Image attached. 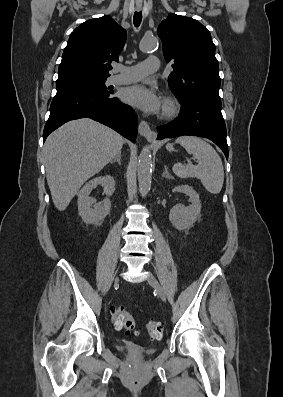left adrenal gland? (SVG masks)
Returning <instances> with one entry per match:
<instances>
[{"label":"left adrenal gland","mask_w":283,"mask_h":397,"mask_svg":"<svg viewBox=\"0 0 283 397\" xmlns=\"http://www.w3.org/2000/svg\"><path fill=\"white\" fill-rule=\"evenodd\" d=\"M162 177L167 179H173V177L169 174L168 167L166 165L164 166V172L162 174Z\"/></svg>","instance_id":"a2214340"}]
</instances>
